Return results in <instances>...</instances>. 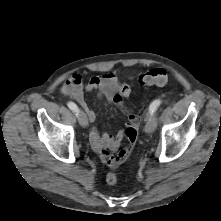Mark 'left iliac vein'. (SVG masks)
<instances>
[{"mask_svg":"<svg viewBox=\"0 0 221 221\" xmlns=\"http://www.w3.org/2000/svg\"><path fill=\"white\" fill-rule=\"evenodd\" d=\"M156 126H157V118L155 115L151 114L144 128L145 133L152 134L155 131Z\"/></svg>","mask_w":221,"mask_h":221,"instance_id":"1","label":"left iliac vein"}]
</instances>
